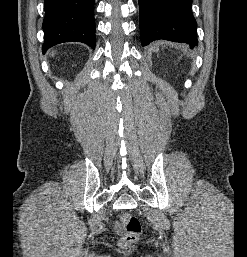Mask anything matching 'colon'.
I'll return each instance as SVG.
<instances>
[{
    "mask_svg": "<svg viewBox=\"0 0 247 257\" xmlns=\"http://www.w3.org/2000/svg\"><path fill=\"white\" fill-rule=\"evenodd\" d=\"M120 222L124 229V234L119 239V246L127 248L138 241L142 232V224L138 217L128 212L121 215Z\"/></svg>",
    "mask_w": 247,
    "mask_h": 257,
    "instance_id": "colon-1",
    "label": "colon"
}]
</instances>
